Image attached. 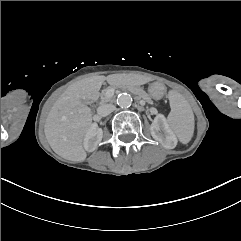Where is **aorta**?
<instances>
[{
    "mask_svg": "<svg viewBox=\"0 0 241 241\" xmlns=\"http://www.w3.org/2000/svg\"><path fill=\"white\" fill-rule=\"evenodd\" d=\"M117 104L121 108H128L132 104V96L128 93H121L117 97Z\"/></svg>",
    "mask_w": 241,
    "mask_h": 241,
    "instance_id": "obj_1",
    "label": "aorta"
}]
</instances>
